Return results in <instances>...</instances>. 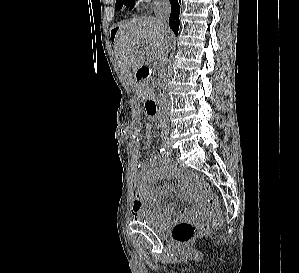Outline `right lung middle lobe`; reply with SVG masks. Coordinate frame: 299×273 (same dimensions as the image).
<instances>
[{
	"mask_svg": "<svg viewBox=\"0 0 299 273\" xmlns=\"http://www.w3.org/2000/svg\"><path fill=\"white\" fill-rule=\"evenodd\" d=\"M134 2L135 0H116V9L120 10L123 5L130 7Z\"/></svg>",
	"mask_w": 299,
	"mask_h": 273,
	"instance_id": "obj_1",
	"label": "right lung middle lobe"
}]
</instances>
